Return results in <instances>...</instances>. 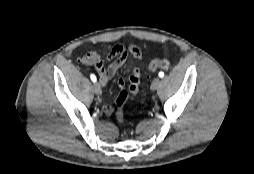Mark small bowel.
I'll use <instances>...</instances> for the list:
<instances>
[{"mask_svg": "<svg viewBox=\"0 0 254 174\" xmlns=\"http://www.w3.org/2000/svg\"><path fill=\"white\" fill-rule=\"evenodd\" d=\"M132 54L135 58H141L142 54L139 48L133 47L131 49ZM121 54V57L114 60L108 67H105L103 64L102 59L98 52H90L85 54L81 61L87 65H94L100 77V82L102 85H106L116 74V72L125 64L127 60V53L121 46L115 47L112 52L108 55V58H112L113 56ZM141 79V71L138 68H134L129 76V87L132 89V93H136L139 88ZM119 87L124 86V81H118ZM102 109L105 115L110 116L112 115L114 109L113 107L108 104L107 102L103 101Z\"/></svg>", "mask_w": 254, "mask_h": 174, "instance_id": "c3829d8e", "label": "small bowel"}]
</instances>
